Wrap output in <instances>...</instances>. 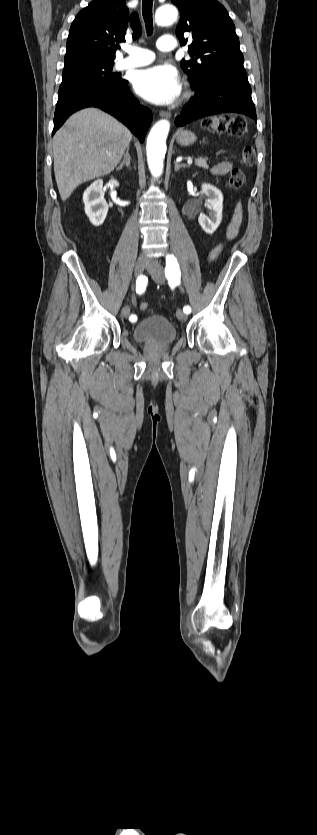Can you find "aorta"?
Here are the masks:
<instances>
[{"label": "aorta", "mask_w": 317, "mask_h": 835, "mask_svg": "<svg viewBox=\"0 0 317 835\" xmlns=\"http://www.w3.org/2000/svg\"><path fill=\"white\" fill-rule=\"evenodd\" d=\"M178 11L173 5H163L156 11V22L159 25H170L176 21ZM170 130V123L166 119L158 121L151 129L147 138V162L151 174L160 177L164 168V158L167 150L166 139Z\"/></svg>", "instance_id": "762f6f07"}]
</instances>
